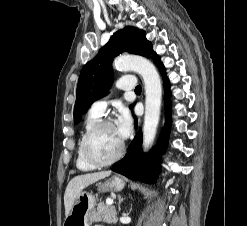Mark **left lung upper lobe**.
Instances as JSON below:
<instances>
[{
	"label": "left lung upper lobe",
	"instance_id": "obj_1",
	"mask_svg": "<svg viewBox=\"0 0 247 226\" xmlns=\"http://www.w3.org/2000/svg\"><path fill=\"white\" fill-rule=\"evenodd\" d=\"M124 51L145 57L156 54L142 30L127 26L113 34L96 57L87 62L81 70L74 107L75 124L94 101L107 94L113 82L112 61Z\"/></svg>",
	"mask_w": 247,
	"mask_h": 226
}]
</instances>
